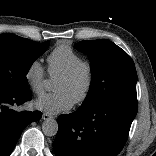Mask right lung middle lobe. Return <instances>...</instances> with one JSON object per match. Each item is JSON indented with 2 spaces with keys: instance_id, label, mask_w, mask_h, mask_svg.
Wrapping results in <instances>:
<instances>
[{
  "instance_id": "right-lung-middle-lobe-1",
  "label": "right lung middle lobe",
  "mask_w": 156,
  "mask_h": 156,
  "mask_svg": "<svg viewBox=\"0 0 156 156\" xmlns=\"http://www.w3.org/2000/svg\"><path fill=\"white\" fill-rule=\"evenodd\" d=\"M49 43L39 44L14 34H0V88L28 90L26 75Z\"/></svg>"
}]
</instances>
